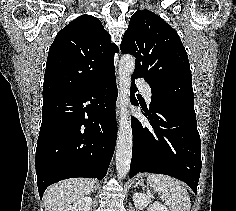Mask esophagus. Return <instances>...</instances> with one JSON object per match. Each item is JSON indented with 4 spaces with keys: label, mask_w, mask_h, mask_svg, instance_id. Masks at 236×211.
<instances>
[{
    "label": "esophagus",
    "mask_w": 236,
    "mask_h": 211,
    "mask_svg": "<svg viewBox=\"0 0 236 211\" xmlns=\"http://www.w3.org/2000/svg\"><path fill=\"white\" fill-rule=\"evenodd\" d=\"M121 102H122V97H121V95H119L118 98H117V102H116V114H117V117L119 116V113H120Z\"/></svg>",
    "instance_id": "34e87169"
}]
</instances>
